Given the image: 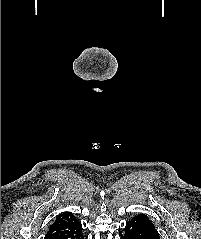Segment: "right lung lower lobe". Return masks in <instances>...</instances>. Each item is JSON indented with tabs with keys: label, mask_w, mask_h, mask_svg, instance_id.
<instances>
[{
	"label": "right lung lower lobe",
	"mask_w": 201,
	"mask_h": 239,
	"mask_svg": "<svg viewBox=\"0 0 201 239\" xmlns=\"http://www.w3.org/2000/svg\"><path fill=\"white\" fill-rule=\"evenodd\" d=\"M80 239H84L83 235H81Z\"/></svg>",
	"instance_id": "1"
}]
</instances>
